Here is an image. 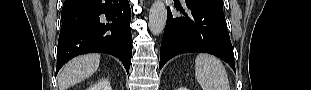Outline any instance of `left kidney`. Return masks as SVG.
<instances>
[{
    "instance_id": "left-kidney-1",
    "label": "left kidney",
    "mask_w": 311,
    "mask_h": 90,
    "mask_svg": "<svg viewBox=\"0 0 311 90\" xmlns=\"http://www.w3.org/2000/svg\"><path fill=\"white\" fill-rule=\"evenodd\" d=\"M178 90H187V88L180 87Z\"/></svg>"
}]
</instances>
